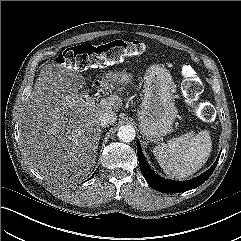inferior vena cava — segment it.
<instances>
[{"label":"inferior vena cava","instance_id":"1","mask_svg":"<svg viewBox=\"0 0 241 241\" xmlns=\"http://www.w3.org/2000/svg\"><path fill=\"white\" fill-rule=\"evenodd\" d=\"M116 113L113 111H103L97 116V123L102 127L113 124L116 121Z\"/></svg>","mask_w":241,"mask_h":241}]
</instances>
